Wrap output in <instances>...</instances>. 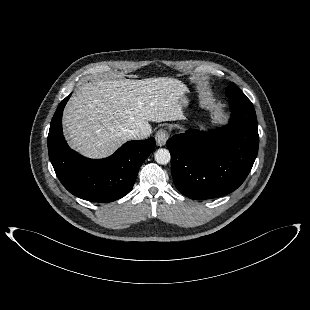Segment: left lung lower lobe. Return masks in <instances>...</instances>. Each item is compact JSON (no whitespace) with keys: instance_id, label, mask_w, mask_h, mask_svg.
I'll return each mask as SVG.
<instances>
[{"instance_id":"obj_1","label":"left lung lower lobe","mask_w":310,"mask_h":310,"mask_svg":"<svg viewBox=\"0 0 310 310\" xmlns=\"http://www.w3.org/2000/svg\"><path fill=\"white\" fill-rule=\"evenodd\" d=\"M232 115L220 130H188L167 141L174 184L185 196L211 199L236 190L246 179L259 146L252 102L244 95L230 98Z\"/></svg>"}]
</instances>
